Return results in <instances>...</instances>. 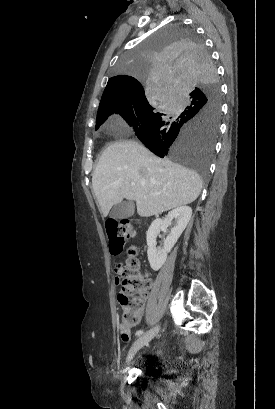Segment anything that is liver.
I'll use <instances>...</instances> for the list:
<instances>
[{
  "mask_svg": "<svg viewBox=\"0 0 275 409\" xmlns=\"http://www.w3.org/2000/svg\"><path fill=\"white\" fill-rule=\"evenodd\" d=\"M92 186L103 217L123 198L136 200L140 217H152L189 205L199 196L202 180L192 168L158 158L137 140H120L102 152Z\"/></svg>",
  "mask_w": 275,
  "mask_h": 409,
  "instance_id": "liver-1",
  "label": "liver"
}]
</instances>
